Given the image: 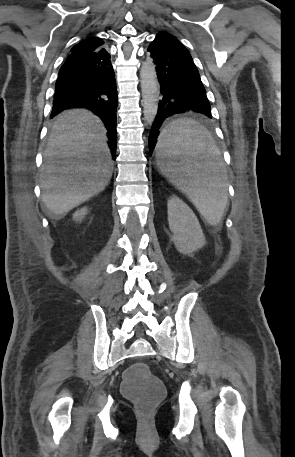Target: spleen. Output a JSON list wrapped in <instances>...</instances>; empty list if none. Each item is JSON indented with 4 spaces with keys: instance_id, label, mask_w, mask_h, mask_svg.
Masks as SVG:
<instances>
[{
    "instance_id": "3e777b00",
    "label": "spleen",
    "mask_w": 295,
    "mask_h": 457,
    "mask_svg": "<svg viewBox=\"0 0 295 457\" xmlns=\"http://www.w3.org/2000/svg\"><path fill=\"white\" fill-rule=\"evenodd\" d=\"M156 157L171 183L210 225H217L228 202V182L210 133L193 119L174 120L160 133Z\"/></svg>"
}]
</instances>
